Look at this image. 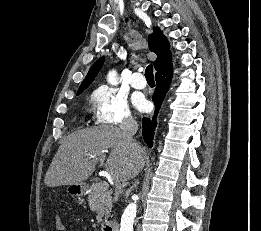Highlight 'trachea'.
I'll list each match as a JSON object with an SVG mask.
<instances>
[{
  "mask_svg": "<svg viewBox=\"0 0 261 231\" xmlns=\"http://www.w3.org/2000/svg\"><path fill=\"white\" fill-rule=\"evenodd\" d=\"M145 77L147 81H154L153 66L151 64L145 70Z\"/></svg>",
  "mask_w": 261,
  "mask_h": 231,
  "instance_id": "1",
  "label": "trachea"
}]
</instances>
